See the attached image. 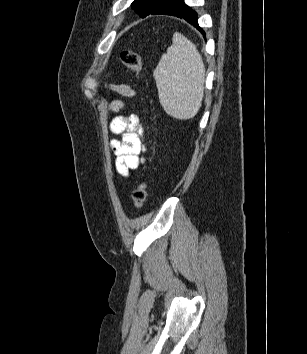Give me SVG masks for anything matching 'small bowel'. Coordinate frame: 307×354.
Here are the masks:
<instances>
[{
	"label": "small bowel",
	"instance_id": "obj_1",
	"mask_svg": "<svg viewBox=\"0 0 307 354\" xmlns=\"http://www.w3.org/2000/svg\"><path fill=\"white\" fill-rule=\"evenodd\" d=\"M115 90L124 97H133L135 91L126 84H120ZM121 101H114L109 109L117 112L123 108ZM110 129L113 134L120 138L110 141V147L115 155L116 171L127 176L129 172L136 169L144 159L141 154L146 151L144 143V130L137 115L118 116L111 121Z\"/></svg>",
	"mask_w": 307,
	"mask_h": 354
}]
</instances>
